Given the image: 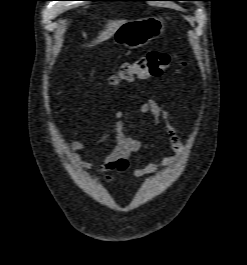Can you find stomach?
<instances>
[{"label": "stomach", "mask_w": 247, "mask_h": 265, "mask_svg": "<svg viewBox=\"0 0 247 265\" xmlns=\"http://www.w3.org/2000/svg\"><path fill=\"white\" fill-rule=\"evenodd\" d=\"M165 29L163 19L155 16L126 21L114 34V43L135 49L158 38Z\"/></svg>", "instance_id": "0dacf381"}]
</instances>
